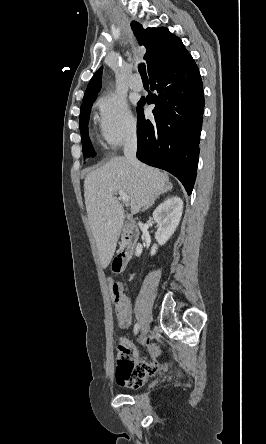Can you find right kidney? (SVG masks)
<instances>
[{
    "instance_id": "right-kidney-1",
    "label": "right kidney",
    "mask_w": 266,
    "mask_h": 444,
    "mask_svg": "<svg viewBox=\"0 0 266 444\" xmlns=\"http://www.w3.org/2000/svg\"><path fill=\"white\" fill-rule=\"evenodd\" d=\"M183 212V201L179 197H170L161 203L153 212V218L158 225L155 238L158 245H164L175 232ZM158 245H153L151 255L153 256ZM142 245L137 244L135 255L140 256L142 253Z\"/></svg>"
}]
</instances>
